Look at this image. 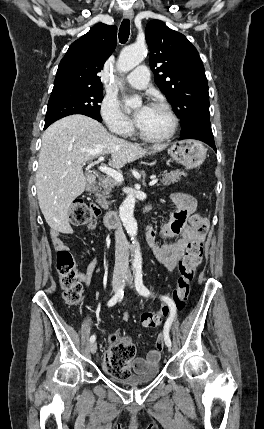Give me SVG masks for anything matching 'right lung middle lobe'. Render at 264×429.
Listing matches in <instances>:
<instances>
[{"label":"right lung middle lobe","mask_w":264,"mask_h":429,"mask_svg":"<svg viewBox=\"0 0 264 429\" xmlns=\"http://www.w3.org/2000/svg\"><path fill=\"white\" fill-rule=\"evenodd\" d=\"M103 89L64 87L53 90L48 102L45 126L72 114H83L101 122L100 106Z\"/></svg>","instance_id":"dd1d6c3e"}]
</instances>
